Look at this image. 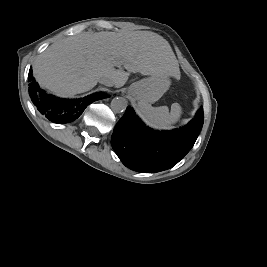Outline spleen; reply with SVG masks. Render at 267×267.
Listing matches in <instances>:
<instances>
[{
  "mask_svg": "<svg viewBox=\"0 0 267 267\" xmlns=\"http://www.w3.org/2000/svg\"><path fill=\"white\" fill-rule=\"evenodd\" d=\"M137 113L149 127L156 130H168L180 119L182 109L178 103H173L169 112L167 106L152 107L150 104L139 101Z\"/></svg>",
  "mask_w": 267,
  "mask_h": 267,
  "instance_id": "1",
  "label": "spleen"
}]
</instances>
